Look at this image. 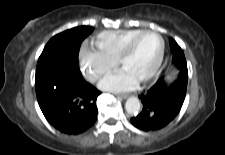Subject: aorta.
<instances>
[{"mask_svg": "<svg viewBox=\"0 0 225 155\" xmlns=\"http://www.w3.org/2000/svg\"><path fill=\"white\" fill-rule=\"evenodd\" d=\"M126 112L130 115H137L141 109L140 100L136 97H130L125 103Z\"/></svg>", "mask_w": 225, "mask_h": 155, "instance_id": "1", "label": "aorta"}]
</instances>
